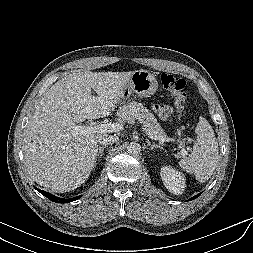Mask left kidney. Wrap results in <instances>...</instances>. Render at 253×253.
I'll return each instance as SVG.
<instances>
[{
	"instance_id": "left-kidney-1",
	"label": "left kidney",
	"mask_w": 253,
	"mask_h": 253,
	"mask_svg": "<svg viewBox=\"0 0 253 253\" xmlns=\"http://www.w3.org/2000/svg\"><path fill=\"white\" fill-rule=\"evenodd\" d=\"M162 181L169 192L180 195L183 193L185 188L184 176L169 166H164L161 168L160 172Z\"/></svg>"
}]
</instances>
